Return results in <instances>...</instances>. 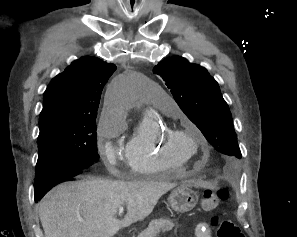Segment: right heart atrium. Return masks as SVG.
Returning <instances> with one entry per match:
<instances>
[{
    "mask_svg": "<svg viewBox=\"0 0 297 237\" xmlns=\"http://www.w3.org/2000/svg\"><path fill=\"white\" fill-rule=\"evenodd\" d=\"M121 130L122 123L118 115L109 108L105 109L100 116L97 128L98 150L111 170L115 169L123 157L124 150L118 140Z\"/></svg>",
    "mask_w": 297,
    "mask_h": 237,
    "instance_id": "d8ad5b80",
    "label": "right heart atrium"
}]
</instances>
